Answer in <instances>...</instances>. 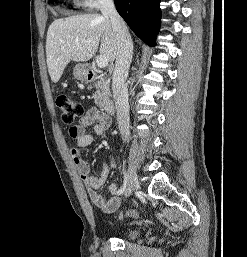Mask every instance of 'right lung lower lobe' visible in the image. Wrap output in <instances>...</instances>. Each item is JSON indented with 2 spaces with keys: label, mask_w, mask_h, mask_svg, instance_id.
<instances>
[{
  "label": "right lung lower lobe",
  "mask_w": 247,
  "mask_h": 257,
  "mask_svg": "<svg viewBox=\"0 0 247 257\" xmlns=\"http://www.w3.org/2000/svg\"><path fill=\"white\" fill-rule=\"evenodd\" d=\"M160 0H115L118 13L133 32L149 46H155L160 28Z\"/></svg>",
  "instance_id": "obj_1"
}]
</instances>
